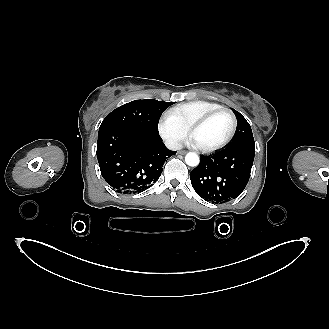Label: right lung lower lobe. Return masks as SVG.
I'll return each instance as SVG.
<instances>
[{
	"label": "right lung lower lobe",
	"mask_w": 329,
	"mask_h": 329,
	"mask_svg": "<svg viewBox=\"0 0 329 329\" xmlns=\"http://www.w3.org/2000/svg\"><path fill=\"white\" fill-rule=\"evenodd\" d=\"M97 159L105 181L121 194L140 193L152 186L162 173L168 150L159 134L124 128L99 130Z\"/></svg>",
	"instance_id": "98d812e1"
}]
</instances>
